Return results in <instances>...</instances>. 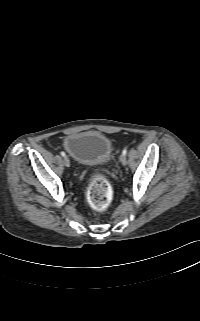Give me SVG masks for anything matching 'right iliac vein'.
<instances>
[{
	"label": "right iliac vein",
	"mask_w": 200,
	"mask_h": 321,
	"mask_svg": "<svg viewBox=\"0 0 200 321\" xmlns=\"http://www.w3.org/2000/svg\"><path fill=\"white\" fill-rule=\"evenodd\" d=\"M63 161H64V165H65V166H67V167L70 166V160H69V158H68L67 156L64 157V160H63Z\"/></svg>",
	"instance_id": "63e3f726"
}]
</instances>
